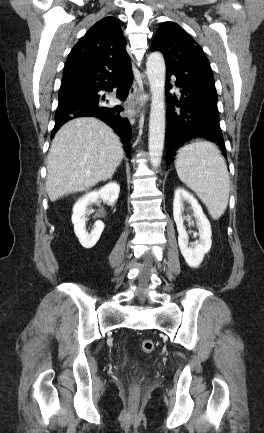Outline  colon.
<instances>
[{
    "label": "colon",
    "instance_id": "5ec220e1",
    "mask_svg": "<svg viewBox=\"0 0 264 433\" xmlns=\"http://www.w3.org/2000/svg\"><path fill=\"white\" fill-rule=\"evenodd\" d=\"M154 349H155V343L151 339H144L141 342V350L144 353L149 354V353L153 352Z\"/></svg>",
    "mask_w": 264,
    "mask_h": 433
}]
</instances>
